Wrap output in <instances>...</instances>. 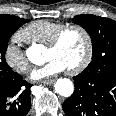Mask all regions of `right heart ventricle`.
I'll return each instance as SVG.
<instances>
[{
    "label": "right heart ventricle",
    "instance_id": "right-heart-ventricle-1",
    "mask_svg": "<svg viewBox=\"0 0 116 116\" xmlns=\"http://www.w3.org/2000/svg\"><path fill=\"white\" fill-rule=\"evenodd\" d=\"M64 23L50 20H38L30 23L19 31L23 41L30 44L47 45L54 33L61 28Z\"/></svg>",
    "mask_w": 116,
    "mask_h": 116
}]
</instances>
